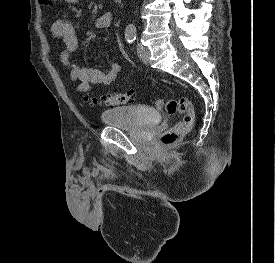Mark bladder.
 <instances>
[{
  "instance_id": "obj_1",
  "label": "bladder",
  "mask_w": 275,
  "mask_h": 263,
  "mask_svg": "<svg viewBox=\"0 0 275 263\" xmlns=\"http://www.w3.org/2000/svg\"><path fill=\"white\" fill-rule=\"evenodd\" d=\"M100 120L106 126L139 130L157 125L160 114L150 106H120L104 111Z\"/></svg>"
}]
</instances>
